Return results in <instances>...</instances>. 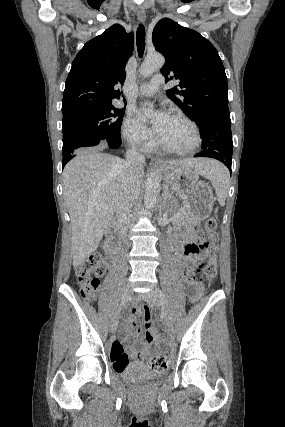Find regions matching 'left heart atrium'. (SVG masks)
Returning <instances> with one entry per match:
<instances>
[{
  "label": "left heart atrium",
  "mask_w": 285,
  "mask_h": 427,
  "mask_svg": "<svg viewBox=\"0 0 285 427\" xmlns=\"http://www.w3.org/2000/svg\"><path fill=\"white\" fill-rule=\"evenodd\" d=\"M138 115L141 120L148 121L149 117H151V114L149 113V105H142L138 111ZM168 118L169 115L163 111H156V113L152 115L153 130L158 136L163 134Z\"/></svg>",
  "instance_id": "left-heart-atrium-1"
}]
</instances>
